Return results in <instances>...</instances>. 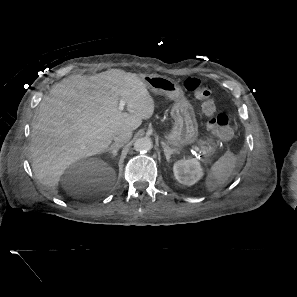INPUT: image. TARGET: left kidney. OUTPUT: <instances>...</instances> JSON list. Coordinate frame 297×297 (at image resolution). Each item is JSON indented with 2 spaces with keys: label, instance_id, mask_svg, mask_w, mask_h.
<instances>
[{
  "label": "left kidney",
  "instance_id": "5707ae66",
  "mask_svg": "<svg viewBox=\"0 0 297 297\" xmlns=\"http://www.w3.org/2000/svg\"><path fill=\"white\" fill-rule=\"evenodd\" d=\"M176 180L187 186L199 181L203 176V169L197 159L179 160L173 166Z\"/></svg>",
  "mask_w": 297,
  "mask_h": 297
}]
</instances>
